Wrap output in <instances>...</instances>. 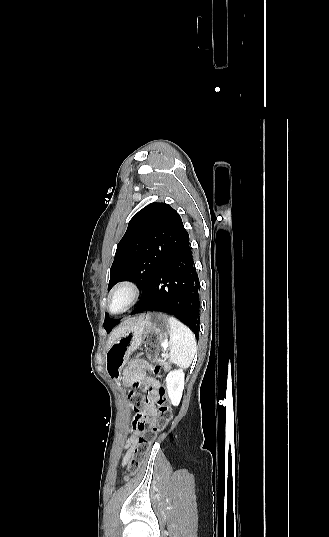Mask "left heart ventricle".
<instances>
[{
	"label": "left heart ventricle",
	"mask_w": 329,
	"mask_h": 537,
	"mask_svg": "<svg viewBox=\"0 0 329 537\" xmlns=\"http://www.w3.org/2000/svg\"><path fill=\"white\" fill-rule=\"evenodd\" d=\"M128 301L129 293L127 291H120L111 300L112 309L114 311H120L127 305Z\"/></svg>",
	"instance_id": "b2bd125f"
}]
</instances>
